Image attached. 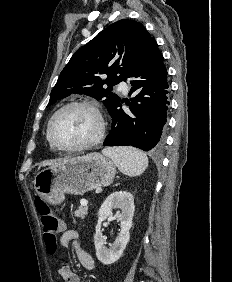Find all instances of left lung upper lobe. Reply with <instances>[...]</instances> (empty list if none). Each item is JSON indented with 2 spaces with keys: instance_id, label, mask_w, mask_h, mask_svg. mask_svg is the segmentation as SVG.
Wrapping results in <instances>:
<instances>
[{
  "instance_id": "5c2ea615",
  "label": "left lung upper lobe",
  "mask_w": 232,
  "mask_h": 282,
  "mask_svg": "<svg viewBox=\"0 0 232 282\" xmlns=\"http://www.w3.org/2000/svg\"><path fill=\"white\" fill-rule=\"evenodd\" d=\"M153 39L139 22L123 19L111 24L73 54L51 91L48 106L71 94H85L105 98L103 103L111 111L120 101L112 87L128 77Z\"/></svg>"
}]
</instances>
